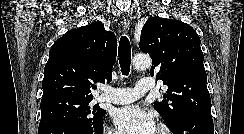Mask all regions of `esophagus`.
<instances>
[{"label": "esophagus", "mask_w": 244, "mask_h": 134, "mask_svg": "<svg viewBox=\"0 0 244 134\" xmlns=\"http://www.w3.org/2000/svg\"><path fill=\"white\" fill-rule=\"evenodd\" d=\"M121 24L123 26V29L128 32L130 29V21L126 15H122L121 17Z\"/></svg>", "instance_id": "1"}]
</instances>
